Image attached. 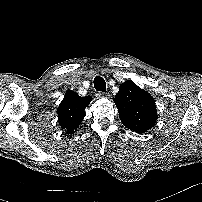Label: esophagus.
Instances as JSON below:
<instances>
[{
    "label": "esophagus",
    "instance_id": "obj_1",
    "mask_svg": "<svg viewBox=\"0 0 202 202\" xmlns=\"http://www.w3.org/2000/svg\"><path fill=\"white\" fill-rule=\"evenodd\" d=\"M95 96L97 98H104V97H109V93H104V92H96Z\"/></svg>",
    "mask_w": 202,
    "mask_h": 202
}]
</instances>
